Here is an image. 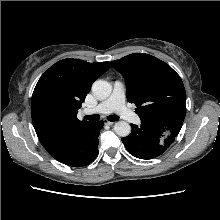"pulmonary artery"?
Returning a JSON list of instances; mask_svg holds the SVG:
<instances>
[{
  "label": "pulmonary artery",
  "instance_id": "e3ab8cb5",
  "mask_svg": "<svg viewBox=\"0 0 220 220\" xmlns=\"http://www.w3.org/2000/svg\"><path fill=\"white\" fill-rule=\"evenodd\" d=\"M86 114H110L115 112L128 122L140 124L141 119L125 105V86L120 81H115L112 94L94 108H87Z\"/></svg>",
  "mask_w": 220,
  "mask_h": 220
}]
</instances>
